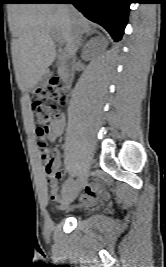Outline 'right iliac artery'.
I'll list each match as a JSON object with an SVG mask.
<instances>
[{
	"label": "right iliac artery",
	"instance_id": "1",
	"mask_svg": "<svg viewBox=\"0 0 166 267\" xmlns=\"http://www.w3.org/2000/svg\"><path fill=\"white\" fill-rule=\"evenodd\" d=\"M72 182H73L72 177H69V178L65 181V183H64V185H63V187H62V190H61V195H62V196H64V195L66 194V192L69 190L70 186L72 185Z\"/></svg>",
	"mask_w": 166,
	"mask_h": 267
}]
</instances>
